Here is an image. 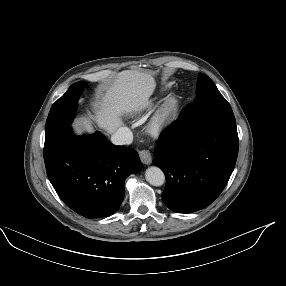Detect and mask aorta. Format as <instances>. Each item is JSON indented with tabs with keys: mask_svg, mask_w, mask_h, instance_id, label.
<instances>
[{
	"mask_svg": "<svg viewBox=\"0 0 286 286\" xmlns=\"http://www.w3.org/2000/svg\"><path fill=\"white\" fill-rule=\"evenodd\" d=\"M145 178L153 186H162L165 182V175L163 171L156 166L147 168Z\"/></svg>",
	"mask_w": 286,
	"mask_h": 286,
	"instance_id": "obj_1",
	"label": "aorta"
}]
</instances>
